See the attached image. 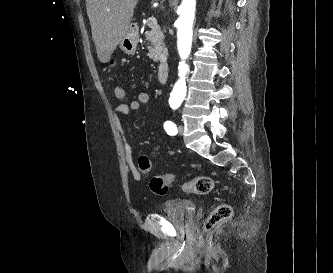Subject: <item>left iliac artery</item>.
<instances>
[{
  "label": "left iliac artery",
  "instance_id": "left-iliac-artery-1",
  "mask_svg": "<svg viewBox=\"0 0 333 273\" xmlns=\"http://www.w3.org/2000/svg\"><path fill=\"white\" fill-rule=\"evenodd\" d=\"M164 129L168 135H176L178 133L177 126L172 121H166L164 123Z\"/></svg>",
  "mask_w": 333,
  "mask_h": 273
}]
</instances>
